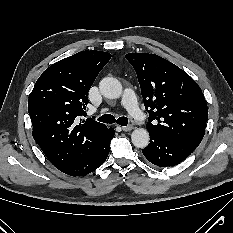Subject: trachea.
<instances>
[{
	"label": "trachea",
	"mask_w": 233,
	"mask_h": 233,
	"mask_svg": "<svg viewBox=\"0 0 233 233\" xmlns=\"http://www.w3.org/2000/svg\"><path fill=\"white\" fill-rule=\"evenodd\" d=\"M98 121L103 122V123H117L121 126H127L128 124V119L127 117H119L118 119H115V117L111 114H104L101 117L98 118Z\"/></svg>",
	"instance_id": "3493384b"
}]
</instances>
